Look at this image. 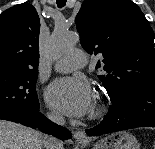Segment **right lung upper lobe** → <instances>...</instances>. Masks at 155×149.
I'll return each mask as SVG.
<instances>
[{
    "label": "right lung upper lobe",
    "mask_w": 155,
    "mask_h": 149,
    "mask_svg": "<svg viewBox=\"0 0 155 149\" xmlns=\"http://www.w3.org/2000/svg\"><path fill=\"white\" fill-rule=\"evenodd\" d=\"M39 29V16L31 4L15 5L0 15V69L38 70Z\"/></svg>",
    "instance_id": "1"
}]
</instances>
